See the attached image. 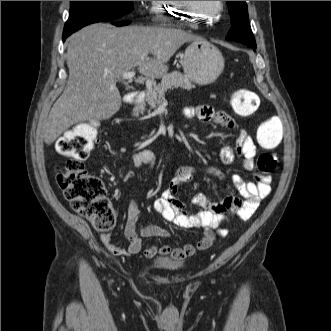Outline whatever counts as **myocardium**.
I'll return each instance as SVG.
<instances>
[{
  "label": "myocardium",
  "instance_id": "obj_1",
  "mask_svg": "<svg viewBox=\"0 0 331 331\" xmlns=\"http://www.w3.org/2000/svg\"><path fill=\"white\" fill-rule=\"evenodd\" d=\"M187 10L185 16L191 19H209L219 15L224 8L223 1H217V7L213 14H205L196 9L192 1H178Z\"/></svg>",
  "mask_w": 331,
  "mask_h": 331
}]
</instances>
